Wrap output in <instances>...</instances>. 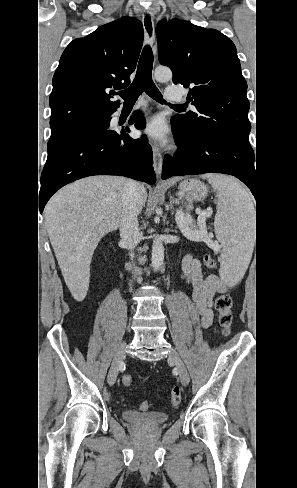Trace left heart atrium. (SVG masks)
Here are the masks:
<instances>
[{
    "label": "left heart atrium",
    "instance_id": "left-heart-atrium-1",
    "mask_svg": "<svg viewBox=\"0 0 297 488\" xmlns=\"http://www.w3.org/2000/svg\"><path fill=\"white\" fill-rule=\"evenodd\" d=\"M142 132L148 138L164 144L167 142L169 129L163 118L157 116L145 125Z\"/></svg>",
    "mask_w": 297,
    "mask_h": 488
}]
</instances>
